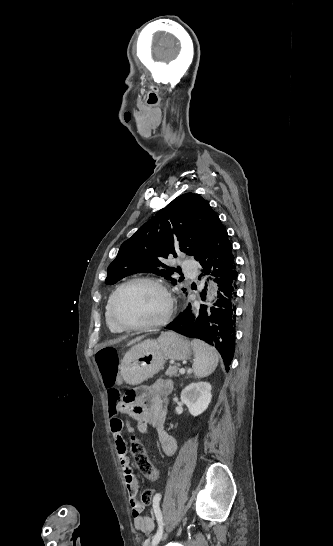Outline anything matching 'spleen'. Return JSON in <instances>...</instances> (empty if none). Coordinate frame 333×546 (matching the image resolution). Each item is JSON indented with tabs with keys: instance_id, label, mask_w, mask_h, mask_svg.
<instances>
[{
	"instance_id": "1",
	"label": "spleen",
	"mask_w": 333,
	"mask_h": 546,
	"mask_svg": "<svg viewBox=\"0 0 333 546\" xmlns=\"http://www.w3.org/2000/svg\"><path fill=\"white\" fill-rule=\"evenodd\" d=\"M191 345L195 353L192 365L195 376L199 378L209 376L218 365L219 357L217 351L199 339H194Z\"/></svg>"
}]
</instances>
